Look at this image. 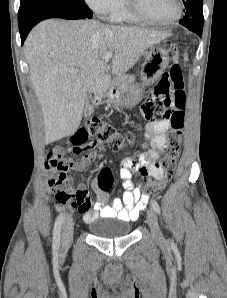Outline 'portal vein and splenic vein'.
<instances>
[{
  "label": "portal vein and splenic vein",
  "instance_id": "obj_1",
  "mask_svg": "<svg viewBox=\"0 0 227 298\" xmlns=\"http://www.w3.org/2000/svg\"><path fill=\"white\" fill-rule=\"evenodd\" d=\"M113 57V52H107L102 56V60L107 62ZM73 74H77V70H71Z\"/></svg>",
  "mask_w": 227,
  "mask_h": 298
}]
</instances>
